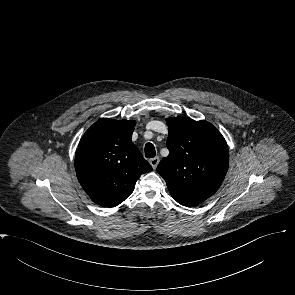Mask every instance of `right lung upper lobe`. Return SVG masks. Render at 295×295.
I'll return each mask as SVG.
<instances>
[{
    "label": "right lung upper lobe",
    "mask_w": 295,
    "mask_h": 295,
    "mask_svg": "<svg viewBox=\"0 0 295 295\" xmlns=\"http://www.w3.org/2000/svg\"><path fill=\"white\" fill-rule=\"evenodd\" d=\"M136 122L100 119L83 135L75 157L78 181L97 204L114 207L132 192L139 177L152 171L131 142Z\"/></svg>",
    "instance_id": "obj_1"
}]
</instances>
